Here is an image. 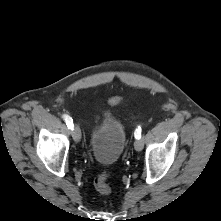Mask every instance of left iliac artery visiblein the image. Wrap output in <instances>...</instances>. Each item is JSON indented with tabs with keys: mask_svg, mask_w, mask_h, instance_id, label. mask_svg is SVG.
<instances>
[{
	"mask_svg": "<svg viewBox=\"0 0 221 221\" xmlns=\"http://www.w3.org/2000/svg\"><path fill=\"white\" fill-rule=\"evenodd\" d=\"M141 131L142 130H141L140 126L135 130L134 136H135L136 139H140L141 138Z\"/></svg>",
	"mask_w": 221,
	"mask_h": 221,
	"instance_id": "44dca946",
	"label": "left iliac artery"
}]
</instances>
